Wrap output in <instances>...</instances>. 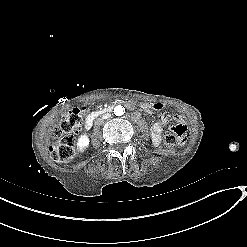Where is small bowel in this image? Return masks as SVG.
<instances>
[{
    "label": "small bowel",
    "mask_w": 247,
    "mask_h": 247,
    "mask_svg": "<svg viewBox=\"0 0 247 247\" xmlns=\"http://www.w3.org/2000/svg\"><path fill=\"white\" fill-rule=\"evenodd\" d=\"M143 110L147 113V114H152L153 112L148 111L145 106H143ZM174 119L177 122H181L183 119L180 115H175ZM165 122L162 120H157L151 129L152 132V141L154 144H159L162 138V132H163V127H164Z\"/></svg>",
    "instance_id": "small-bowel-1"
}]
</instances>
